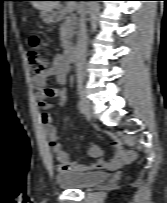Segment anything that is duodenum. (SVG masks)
Returning a JSON list of instances; mask_svg holds the SVG:
<instances>
[{
    "label": "duodenum",
    "instance_id": "410a0bca",
    "mask_svg": "<svg viewBox=\"0 0 167 203\" xmlns=\"http://www.w3.org/2000/svg\"><path fill=\"white\" fill-rule=\"evenodd\" d=\"M62 13V10L60 8H56L52 11V21L58 22L60 19V14ZM77 54V47L76 45H68L65 49L64 53V59L68 63H72L76 59Z\"/></svg>",
    "mask_w": 167,
    "mask_h": 203
}]
</instances>
